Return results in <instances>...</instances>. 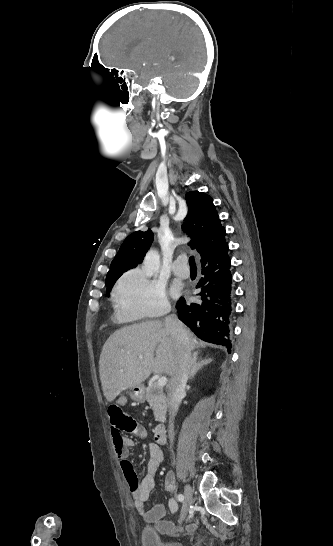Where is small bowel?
Wrapping results in <instances>:
<instances>
[{
    "mask_svg": "<svg viewBox=\"0 0 333 546\" xmlns=\"http://www.w3.org/2000/svg\"><path fill=\"white\" fill-rule=\"evenodd\" d=\"M118 400L121 401L122 407L125 404L126 398L122 393ZM124 419L132 426L131 433L137 434L139 436H144L145 432L142 428L138 427L135 421L123 414ZM110 429L112 443L114 451L119 459L120 467L123 472V475L129 484L130 490L134 499V507L136 512L143 517L147 522H157V526L160 532L162 533H174L179 531L180 528L176 527L170 519L176 513L178 509V503L176 500L171 499L168 502L169 513L167 514L164 506L158 504L150 510H146L144 507L145 501L148 499L151 491L154 488L155 475L159 465L163 461V452L161 448L155 444L151 443L149 445L150 458L146 464L145 472L140 481H138L137 473L134 470V467L131 461L128 458V450L134 444V440L123 435L126 431L125 427L122 425L119 418H110ZM166 485L171 487L172 478L167 479ZM193 526H190L189 529H192Z\"/></svg>",
    "mask_w": 333,
    "mask_h": 546,
    "instance_id": "c3829d8e",
    "label": "small bowel"
}]
</instances>
